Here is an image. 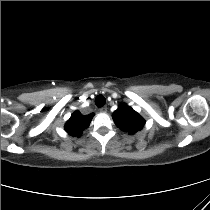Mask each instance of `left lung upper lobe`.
<instances>
[{
	"label": "left lung upper lobe",
	"mask_w": 210,
	"mask_h": 210,
	"mask_svg": "<svg viewBox=\"0 0 210 210\" xmlns=\"http://www.w3.org/2000/svg\"><path fill=\"white\" fill-rule=\"evenodd\" d=\"M113 120L121 130L128 133L137 132L145 124L144 119L126 104H121L113 113Z\"/></svg>",
	"instance_id": "1"
}]
</instances>
